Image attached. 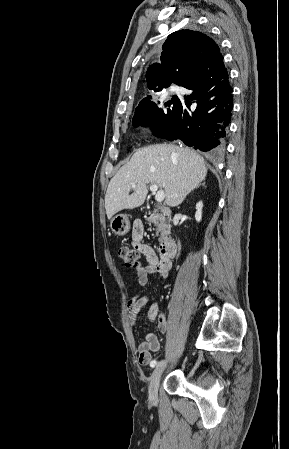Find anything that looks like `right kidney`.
<instances>
[{
    "label": "right kidney",
    "instance_id": "1",
    "mask_svg": "<svg viewBox=\"0 0 289 449\" xmlns=\"http://www.w3.org/2000/svg\"><path fill=\"white\" fill-rule=\"evenodd\" d=\"M202 208H203V203L200 201L196 204L195 219L197 222H200L202 219Z\"/></svg>",
    "mask_w": 289,
    "mask_h": 449
}]
</instances>
